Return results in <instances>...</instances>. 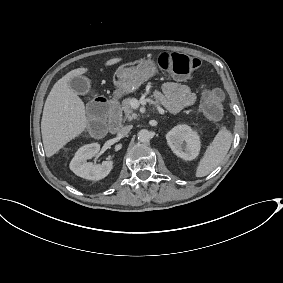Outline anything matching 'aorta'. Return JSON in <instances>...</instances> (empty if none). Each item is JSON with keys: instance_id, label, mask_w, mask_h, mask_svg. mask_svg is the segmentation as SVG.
<instances>
[{"instance_id": "1", "label": "aorta", "mask_w": 283, "mask_h": 283, "mask_svg": "<svg viewBox=\"0 0 283 283\" xmlns=\"http://www.w3.org/2000/svg\"><path fill=\"white\" fill-rule=\"evenodd\" d=\"M137 136L138 140L143 143L150 141V139L152 138L151 132L146 129L140 130Z\"/></svg>"}]
</instances>
